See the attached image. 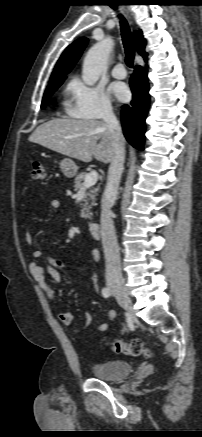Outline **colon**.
Instances as JSON below:
<instances>
[{"label": "colon", "mask_w": 202, "mask_h": 437, "mask_svg": "<svg viewBox=\"0 0 202 437\" xmlns=\"http://www.w3.org/2000/svg\"><path fill=\"white\" fill-rule=\"evenodd\" d=\"M31 175L34 179L42 180L46 176L44 165L36 161L32 165ZM111 349L115 353H121L132 357L143 356L149 358L151 351L147 348L140 339H132L130 342L116 340L110 344Z\"/></svg>", "instance_id": "1"}]
</instances>
